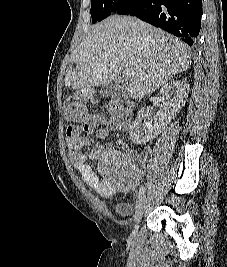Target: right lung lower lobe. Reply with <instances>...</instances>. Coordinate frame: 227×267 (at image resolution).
Segmentation results:
<instances>
[{
	"label": "right lung lower lobe",
	"instance_id": "right-lung-lower-lobe-1",
	"mask_svg": "<svg viewBox=\"0 0 227 267\" xmlns=\"http://www.w3.org/2000/svg\"><path fill=\"white\" fill-rule=\"evenodd\" d=\"M202 0H128L115 13L139 19L192 45L201 28Z\"/></svg>",
	"mask_w": 227,
	"mask_h": 267
}]
</instances>
